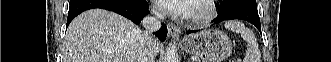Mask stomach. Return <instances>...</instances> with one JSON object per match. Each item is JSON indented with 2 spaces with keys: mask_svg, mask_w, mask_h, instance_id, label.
Segmentation results:
<instances>
[{
  "mask_svg": "<svg viewBox=\"0 0 331 62\" xmlns=\"http://www.w3.org/2000/svg\"><path fill=\"white\" fill-rule=\"evenodd\" d=\"M184 50L200 56L203 62H223L232 52L229 37L219 30H203L187 37Z\"/></svg>",
  "mask_w": 331,
  "mask_h": 62,
  "instance_id": "1",
  "label": "stomach"
}]
</instances>
